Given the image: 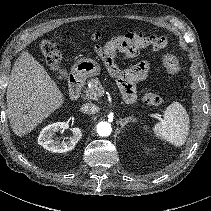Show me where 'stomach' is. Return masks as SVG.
<instances>
[{"instance_id": "1", "label": "stomach", "mask_w": 211, "mask_h": 211, "mask_svg": "<svg viewBox=\"0 0 211 211\" xmlns=\"http://www.w3.org/2000/svg\"><path fill=\"white\" fill-rule=\"evenodd\" d=\"M73 72L79 77L97 76L101 72V67L95 60L84 58L74 64Z\"/></svg>"}]
</instances>
